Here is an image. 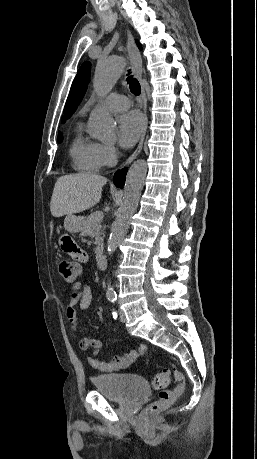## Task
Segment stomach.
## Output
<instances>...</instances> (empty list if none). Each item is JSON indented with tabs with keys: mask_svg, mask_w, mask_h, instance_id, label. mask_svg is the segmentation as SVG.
Returning <instances> with one entry per match:
<instances>
[{
	"mask_svg": "<svg viewBox=\"0 0 257 459\" xmlns=\"http://www.w3.org/2000/svg\"><path fill=\"white\" fill-rule=\"evenodd\" d=\"M84 223L85 220L83 217L69 214L65 217L64 227L70 233H79L82 230Z\"/></svg>",
	"mask_w": 257,
	"mask_h": 459,
	"instance_id": "0dacf381",
	"label": "stomach"
}]
</instances>
